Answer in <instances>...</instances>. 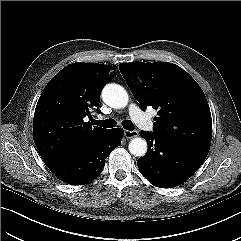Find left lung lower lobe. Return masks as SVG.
<instances>
[{"label":"left lung lower lobe","mask_w":241,"mask_h":241,"mask_svg":"<svg viewBox=\"0 0 241 241\" xmlns=\"http://www.w3.org/2000/svg\"><path fill=\"white\" fill-rule=\"evenodd\" d=\"M148 144L137 161L140 173L154 186L176 187L189 179L204 162L208 150L140 132Z\"/></svg>","instance_id":"left-lung-lower-lobe-1"}]
</instances>
